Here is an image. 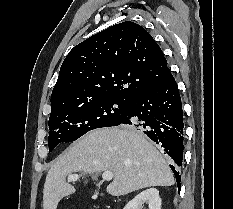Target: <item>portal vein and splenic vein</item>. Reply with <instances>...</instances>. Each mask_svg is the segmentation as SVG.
Here are the masks:
<instances>
[{
  "label": "portal vein and splenic vein",
  "instance_id": "18ae733b",
  "mask_svg": "<svg viewBox=\"0 0 233 209\" xmlns=\"http://www.w3.org/2000/svg\"><path fill=\"white\" fill-rule=\"evenodd\" d=\"M102 178L104 181H110L113 178V173L111 171H105L102 174ZM79 179L78 174H72L68 176V181H75Z\"/></svg>",
  "mask_w": 233,
  "mask_h": 209
}]
</instances>
